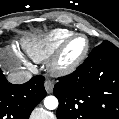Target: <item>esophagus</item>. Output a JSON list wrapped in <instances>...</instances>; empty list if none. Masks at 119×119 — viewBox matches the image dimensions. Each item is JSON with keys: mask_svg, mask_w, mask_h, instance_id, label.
Listing matches in <instances>:
<instances>
[{"mask_svg": "<svg viewBox=\"0 0 119 119\" xmlns=\"http://www.w3.org/2000/svg\"><path fill=\"white\" fill-rule=\"evenodd\" d=\"M44 87L47 93H52L53 88H54V83L51 80L47 79L44 82Z\"/></svg>", "mask_w": 119, "mask_h": 119, "instance_id": "obj_1", "label": "esophagus"}]
</instances>
